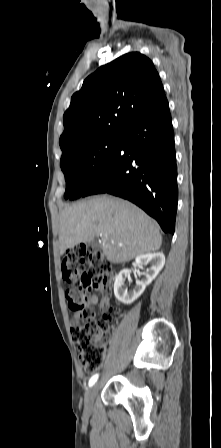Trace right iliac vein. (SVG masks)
<instances>
[{"label":"right iliac vein","mask_w":221,"mask_h":448,"mask_svg":"<svg viewBox=\"0 0 221 448\" xmlns=\"http://www.w3.org/2000/svg\"><path fill=\"white\" fill-rule=\"evenodd\" d=\"M98 391V383L94 384L85 395V407L87 411H90L93 406V401Z\"/></svg>","instance_id":"right-iliac-vein-1"}]
</instances>
